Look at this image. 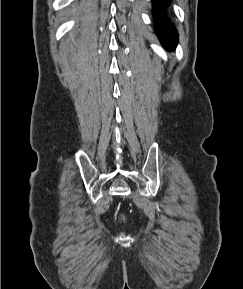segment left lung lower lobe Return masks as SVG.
I'll return each mask as SVG.
<instances>
[{
	"mask_svg": "<svg viewBox=\"0 0 243 289\" xmlns=\"http://www.w3.org/2000/svg\"><path fill=\"white\" fill-rule=\"evenodd\" d=\"M155 3L153 11L156 13L157 24L156 33L160 38L163 46L171 51L176 47L177 32L174 27L168 23L165 14L162 13V7L166 6L170 0H152Z\"/></svg>",
	"mask_w": 243,
	"mask_h": 289,
	"instance_id": "left-lung-lower-lobe-1",
	"label": "left lung lower lobe"
}]
</instances>
